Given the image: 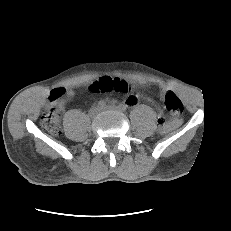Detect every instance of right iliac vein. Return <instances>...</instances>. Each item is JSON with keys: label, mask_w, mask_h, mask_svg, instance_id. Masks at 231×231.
Segmentation results:
<instances>
[{"label": "right iliac vein", "mask_w": 231, "mask_h": 231, "mask_svg": "<svg viewBox=\"0 0 231 231\" xmlns=\"http://www.w3.org/2000/svg\"><path fill=\"white\" fill-rule=\"evenodd\" d=\"M100 111H101V108L98 106H95V107L90 109L89 114L91 117H95L100 113Z\"/></svg>", "instance_id": "obj_1"}]
</instances>
